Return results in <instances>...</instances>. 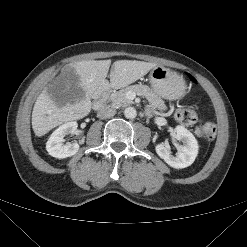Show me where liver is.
<instances>
[{"mask_svg":"<svg viewBox=\"0 0 247 247\" xmlns=\"http://www.w3.org/2000/svg\"><path fill=\"white\" fill-rule=\"evenodd\" d=\"M111 60H88L68 64L62 73L78 77L76 89L82 92L65 104L56 103L47 89L37 97L32 111V128L36 136H43L64 122L81 119L92 108L91 99L99 98L110 89L124 88L152 70L157 65L136 60H117L110 71V82L106 79ZM63 99L64 97H58Z\"/></svg>","mask_w":247,"mask_h":247,"instance_id":"6515ba94","label":"liver"}]
</instances>
